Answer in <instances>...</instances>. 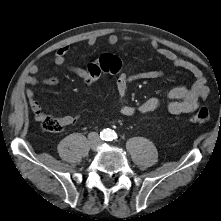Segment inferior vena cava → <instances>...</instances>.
Here are the masks:
<instances>
[{
    "instance_id": "602c4592",
    "label": "inferior vena cava",
    "mask_w": 221,
    "mask_h": 221,
    "mask_svg": "<svg viewBox=\"0 0 221 221\" xmlns=\"http://www.w3.org/2000/svg\"><path fill=\"white\" fill-rule=\"evenodd\" d=\"M99 140H100L99 137H98V136H95L94 139H93V142H94V143H98Z\"/></svg>"
}]
</instances>
